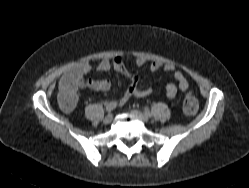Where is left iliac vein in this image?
I'll use <instances>...</instances> for the list:
<instances>
[{"instance_id": "4c4485c4", "label": "left iliac vein", "mask_w": 249, "mask_h": 188, "mask_svg": "<svg viewBox=\"0 0 249 188\" xmlns=\"http://www.w3.org/2000/svg\"><path fill=\"white\" fill-rule=\"evenodd\" d=\"M131 113L134 114L135 116H137L138 118H140L144 122H148L149 121V117L147 115L143 114L139 110H132Z\"/></svg>"}]
</instances>
